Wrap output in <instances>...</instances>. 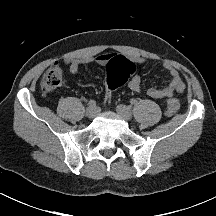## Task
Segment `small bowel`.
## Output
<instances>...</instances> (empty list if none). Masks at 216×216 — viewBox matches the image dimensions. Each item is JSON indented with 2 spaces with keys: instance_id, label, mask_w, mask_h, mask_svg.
I'll use <instances>...</instances> for the list:
<instances>
[{
  "instance_id": "obj_1",
  "label": "small bowel",
  "mask_w": 216,
  "mask_h": 216,
  "mask_svg": "<svg viewBox=\"0 0 216 216\" xmlns=\"http://www.w3.org/2000/svg\"><path fill=\"white\" fill-rule=\"evenodd\" d=\"M118 59H126L133 62L134 64H142L145 62L144 58L137 55L104 53L91 58L65 60V64L68 65L69 72L71 74H76L83 64L93 63L99 66H108L111 62L116 61ZM162 66L168 72L169 83L163 88L150 87L148 89V95L155 99L167 98L173 96L175 93H181L185 89V83L183 82L175 67L169 62H164ZM141 84V78L139 76H134L130 79L128 87L130 90L137 92L141 89Z\"/></svg>"
}]
</instances>
